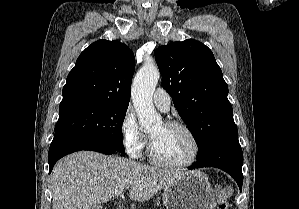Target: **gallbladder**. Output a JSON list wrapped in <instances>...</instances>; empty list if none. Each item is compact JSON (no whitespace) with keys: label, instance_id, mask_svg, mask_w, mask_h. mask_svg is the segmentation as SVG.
Returning <instances> with one entry per match:
<instances>
[{"label":"gallbladder","instance_id":"bac80fb5","mask_svg":"<svg viewBox=\"0 0 299 209\" xmlns=\"http://www.w3.org/2000/svg\"><path fill=\"white\" fill-rule=\"evenodd\" d=\"M90 209H101V206L97 203V204H93L90 206Z\"/></svg>","mask_w":299,"mask_h":209}]
</instances>
